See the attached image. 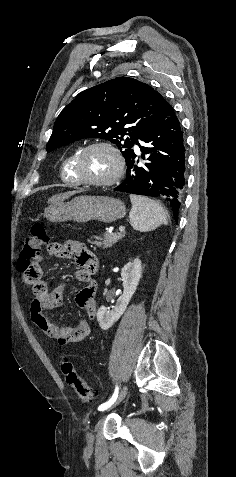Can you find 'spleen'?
<instances>
[{"label": "spleen", "mask_w": 236, "mask_h": 477, "mask_svg": "<svg viewBox=\"0 0 236 477\" xmlns=\"http://www.w3.org/2000/svg\"><path fill=\"white\" fill-rule=\"evenodd\" d=\"M130 200L132 209L129 214V219L134 230L148 232L162 224H168L164 209L156 201L137 195H130Z\"/></svg>", "instance_id": "1"}]
</instances>
